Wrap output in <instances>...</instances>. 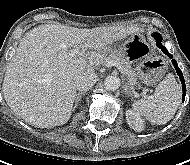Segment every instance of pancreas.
Masks as SVG:
<instances>
[{
	"label": "pancreas",
	"instance_id": "cf45deb5",
	"mask_svg": "<svg viewBox=\"0 0 190 165\" xmlns=\"http://www.w3.org/2000/svg\"><path fill=\"white\" fill-rule=\"evenodd\" d=\"M110 61H115L123 67L124 71L133 79L135 78V73L131 69V66L123 59V57L118 53H111L108 57L104 58V63L107 64Z\"/></svg>",
	"mask_w": 190,
	"mask_h": 165
}]
</instances>
